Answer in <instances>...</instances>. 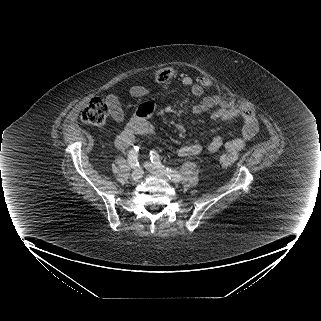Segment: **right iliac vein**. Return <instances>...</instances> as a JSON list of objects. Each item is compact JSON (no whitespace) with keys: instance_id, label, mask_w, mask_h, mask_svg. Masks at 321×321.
Masks as SVG:
<instances>
[{"instance_id":"1","label":"right iliac vein","mask_w":321,"mask_h":321,"mask_svg":"<svg viewBox=\"0 0 321 321\" xmlns=\"http://www.w3.org/2000/svg\"><path fill=\"white\" fill-rule=\"evenodd\" d=\"M143 176V170L140 167H137L133 172H132V179L134 181H138L142 178Z\"/></svg>"}]
</instances>
